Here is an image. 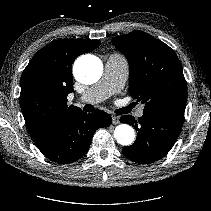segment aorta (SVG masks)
<instances>
[{
  "instance_id": "1",
  "label": "aorta",
  "mask_w": 211,
  "mask_h": 211,
  "mask_svg": "<svg viewBox=\"0 0 211 211\" xmlns=\"http://www.w3.org/2000/svg\"><path fill=\"white\" fill-rule=\"evenodd\" d=\"M103 72L101 61L93 55L79 57L73 66V73L79 82L93 84L98 81ZM114 137L121 145L132 144L135 138L134 129L128 124H120L114 130Z\"/></svg>"
}]
</instances>
